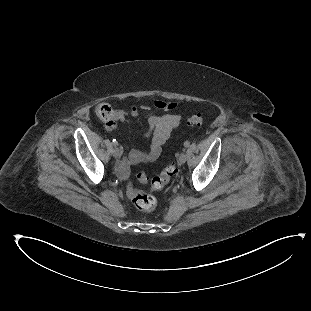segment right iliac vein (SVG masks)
<instances>
[{
    "label": "right iliac vein",
    "mask_w": 311,
    "mask_h": 311,
    "mask_svg": "<svg viewBox=\"0 0 311 311\" xmlns=\"http://www.w3.org/2000/svg\"><path fill=\"white\" fill-rule=\"evenodd\" d=\"M112 154L115 158H118L120 156V152L119 149L117 147H115L112 151Z\"/></svg>",
    "instance_id": "1"
}]
</instances>
